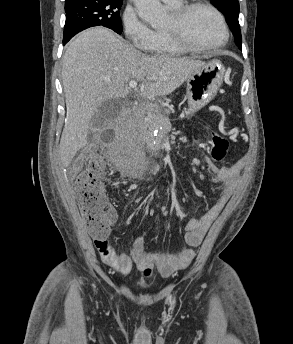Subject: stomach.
Masks as SVG:
<instances>
[{
    "instance_id": "1",
    "label": "stomach",
    "mask_w": 293,
    "mask_h": 344,
    "mask_svg": "<svg viewBox=\"0 0 293 344\" xmlns=\"http://www.w3.org/2000/svg\"><path fill=\"white\" fill-rule=\"evenodd\" d=\"M224 72L221 62L212 60L187 78L189 114L200 110L216 96L223 82Z\"/></svg>"
}]
</instances>
